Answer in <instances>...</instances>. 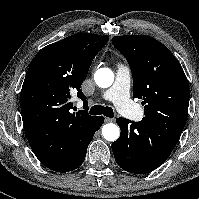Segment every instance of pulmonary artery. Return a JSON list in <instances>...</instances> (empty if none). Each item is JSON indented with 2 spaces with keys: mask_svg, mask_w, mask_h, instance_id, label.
<instances>
[{
  "mask_svg": "<svg viewBox=\"0 0 199 199\" xmlns=\"http://www.w3.org/2000/svg\"><path fill=\"white\" fill-rule=\"evenodd\" d=\"M131 71L127 65L118 64L115 82L103 98L114 103L117 109L130 118H135L136 107L131 100Z\"/></svg>",
  "mask_w": 199,
  "mask_h": 199,
  "instance_id": "e3ab8cb5",
  "label": "pulmonary artery"
}]
</instances>
